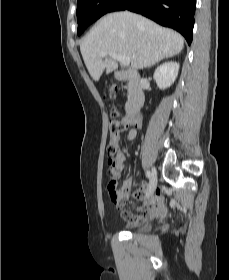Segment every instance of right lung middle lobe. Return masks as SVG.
Returning a JSON list of instances; mask_svg holds the SVG:
<instances>
[{"label": "right lung middle lobe", "mask_w": 229, "mask_h": 280, "mask_svg": "<svg viewBox=\"0 0 229 280\" xmlns=\"http://www.w3.org/2000/svg\"><path fill=\"white\" fill-rule=\"evenodd\" d=\"M117 0H77L78 35L91 23L110 12Z\"/></svg>", "instance_id": "right-lung-middle-lobe-1"}]
</instances>
